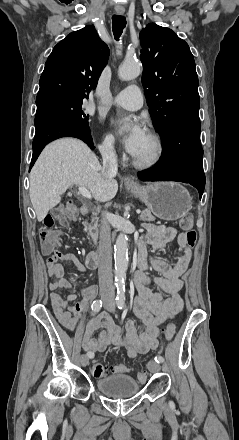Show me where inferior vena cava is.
<instances>
[{
	"mask_svg": "<svg viewBox=\"0 0 239 440\" xmlns=\"http://www.w3.org/2000/svg\"><path fill=\"white\" fill-rule=\"evenodd\" d=\"M113 142H107L102 150L103 166L102 172H105L106 178H115L117 174V156L112 146ZM98 276L99 288L102 300V307H115L114 288L112 278V250H111V228L108 222V214H102L101 226L99 232L98 246Z\"/></svg>",
	"mask_w": 239,
	"mask_h": 440,
	"instance_id": "602c4592",
	"label": "inferior vena cava"
}]
</instances>
